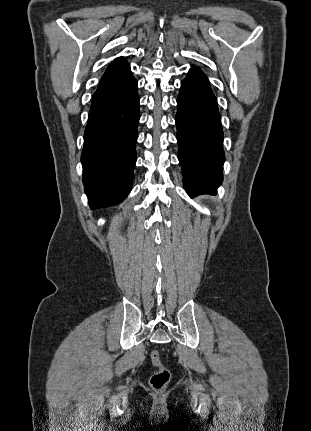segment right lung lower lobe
<instances>
[{"mask_svg":"<svg viewBox=\"0 0 311 431\" xmlns=\"http://www.w3.org/2000/svg\"><path fill=\"white\" fill-rule=\"evenodd\" d=\"M137 87L129 67L102 77L93 96L81 156L91 208L116 205L131 190L140 118Z\"/></svg>","mask_w":311,"mask_h":431,"instance_id":"obj_1","label":"right lung lower lobe"}]
</instances>
